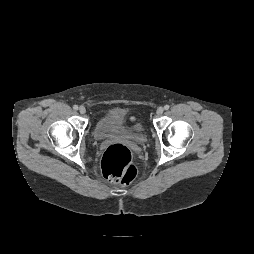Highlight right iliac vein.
Here are the masks:
<instances>
[{
	"label": "right iliac vein",
	"instance_id": "1",
	"mask_svg": "<svg viewBox=\"0 0 254 254\" xmlns=\"http://www.w3.org/2000/svg\"><path fill=\"white\" fill-rule=\"evenodd\" d=\"M79 112H80L81 114H85V113H86L85 107H84V106H80V107H79Z\"/></svg>",
	"mask_w": 254,
	"mask_h": 254
}]
</instances>
